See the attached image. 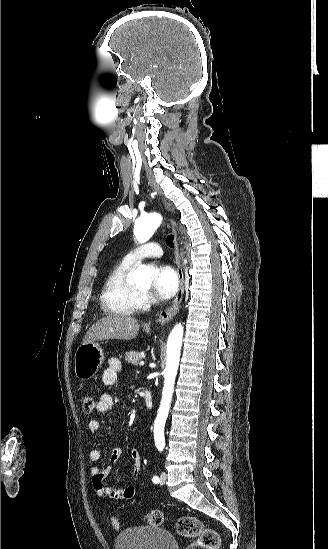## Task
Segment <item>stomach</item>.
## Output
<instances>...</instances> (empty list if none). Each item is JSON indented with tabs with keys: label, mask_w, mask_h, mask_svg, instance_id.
<instances>
[{
	"label": "stomach",
	"mask_w": 328,
	"mask_h": 549,
	"mask_svg": "<svg viewBox=\"0 0 328 549\" xmlns=\"http://www.w3.org/2000/svg\"><path fill=\"white\" fill-rule=\"evenodd\" d=\"M103 361V349L99 343H82L75 353L74 371L77 379H93Z\"/></svg>",
	"instance_id": "0dacf381"
}]
</instances>
